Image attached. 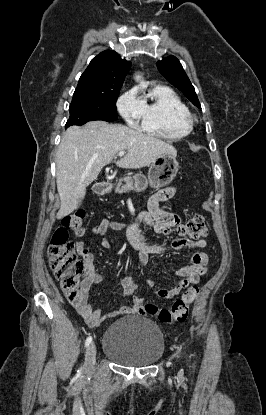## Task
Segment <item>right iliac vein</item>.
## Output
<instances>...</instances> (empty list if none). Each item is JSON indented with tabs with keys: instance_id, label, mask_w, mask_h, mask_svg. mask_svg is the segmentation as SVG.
<instances>
[{
	"instance_id": "1",
	"label": "right iliac vein",
	"mask_w": 266,
	"mask_h": 415,
	"mask_svg": "<svg viewBox=\"0 0 266 415\" xmlns=\"http://www.w3.org/2000/svg\"><path fill=\"white\" fill-rule=\"evenodd\" d=\"M96 360V346L94 343H91L85 354L84 370L89 371L93 368Z\"/></svg>"
}]
</instances>
